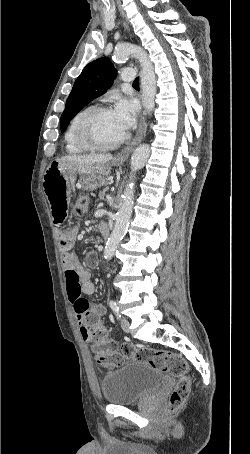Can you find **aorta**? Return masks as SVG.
Returning a JSON list of instances; mask_svg holds the SVG:
<instances>
[{
	"label": "aorta",
	"instance_id": "762f6f07",
	"mask_svg": "<svg viewBox=\"0 0 250 454\" xmlns=\"http://www.w3.org/2000/svg\"><path fill=\"white\" fill-rule=\"evenodd\" d=\"M137 58L141 66V88L142 104L148 113L152 112L155 107L156 95V75L154 66L149 60L147 53L140 47L132 43L120 44L114 51L116 61H124L128 57ZM150 156V146L147 144L139 145L133 152L130 162V180L122 196V205L116 215L114 229L106 243L104 249V258L111 260L120 241L127 232L128 225L133 210L134 200V177L135 173L143 168Z\"/></svg>",
	"mask_w": 250,
	"mask_h": 454
}]
</instances>
